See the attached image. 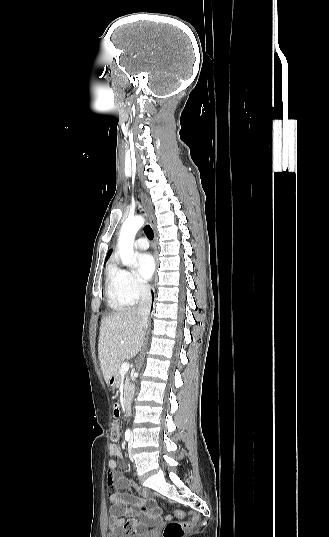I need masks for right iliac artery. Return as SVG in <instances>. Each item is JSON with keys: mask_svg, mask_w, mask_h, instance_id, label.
Segmentation results:
<instances>
[{"mask_svg": "<svg viewBox=\"0 0 329 537\" xmlns=\"http://www.w3.org/2000/svg\"><path fill=\"white\" fill-rule=\"evenodd\" d=\"M130 435H131L130 430H129V429L126 430V432H125V440H126V441H129V439H130Z\"/></svg>", "mask_w": 329, "mask_h": 537, "instance_id": "82829eb1", "label": "right iliac artery"}]
</instances>
